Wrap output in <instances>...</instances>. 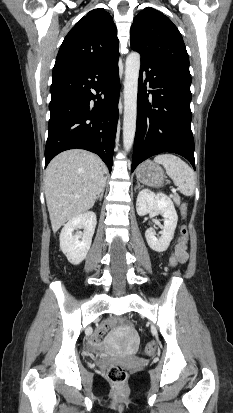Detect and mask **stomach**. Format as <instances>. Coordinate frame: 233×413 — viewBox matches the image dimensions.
Returning <instances> with one entry per match:
<instances>
[{"label": "stomach", "instance_id": "0dacf381", "mask_svg": "<svg viewBox=\"0 0 233 413\" xmlns=\"http://www.w3.org/2000/svg\"><path fill=\"white\" fill-rule=\"evenodd\" d=\"M136 177L142 184L151 187H160L165 180L162 168L150 160L145 161L137 168Z\"/></svg>", "mask_w": 233, "mask_h": 413}]
</instances>
